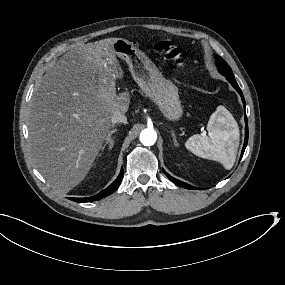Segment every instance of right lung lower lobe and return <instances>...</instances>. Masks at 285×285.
<instances>
[{
    "instance_id": "obj_1",
    "label": "right lung lower lobe",
    "mask_w": 285,
    "mask_h": 285,
    "mask_svg": "<svg viewBox=\"0 0 285 285\" xmlns=\"http://www.w3.org/2000/svg\"><path fill=\"white\" fill-rule=\"evenodd\" d=\"M123 175H124V171H123V169H121L119 176L109 187H107L106 189H104L103 191H101L100 193H98L92 197L69 198V199L72 201H75V202H91V201H96V200L102 199V198L112 194L119 187L121 180L123 178Z\"/></svg>"
}]
</instances>
